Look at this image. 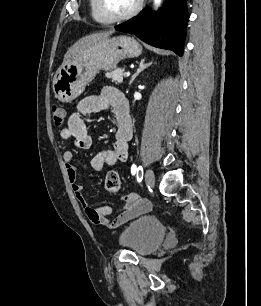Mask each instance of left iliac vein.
<instances>
[{
	"label": "left iliac vein",
	"instance_id": "obj_1",
	"mask_svg": "<svg viewBox=\"0 0 261 306\" xmlns=\"http://www.w3.org/2000/svg\"><path fill=\"white\" fill-rule=\"evenodd\" d=\"M145 182L148 187H153L155 184L154 173L151 169H148L145 173Z\"/></svg>",
	"mask_w": 261,
	"mask_h": 306
}]
</instances>
